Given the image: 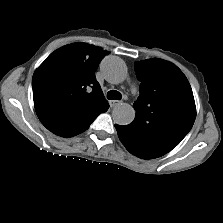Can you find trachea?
<instances>
[{"label":"trachea","instance_id":"1","mask_svg":"<svg viewBox=\"0 0 223 223\" xmlns=\"http://www.w3.org/2000/svg\"><path fill=\"white\" fill-rule=\"evenodd\" d=\"M122 95L116 90H111L107 93V99L109 100H121Z\"/></svg>","mask_w":223,"mask_h":223}]
</instances>
